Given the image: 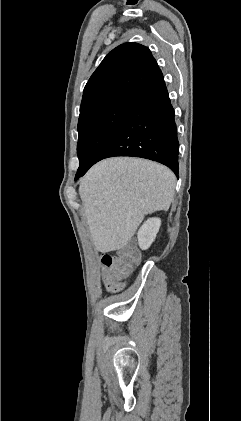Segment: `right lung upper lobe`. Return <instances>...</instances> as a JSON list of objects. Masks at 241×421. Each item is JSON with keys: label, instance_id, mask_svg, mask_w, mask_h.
<instances>
[{"label": "right lung upper lobe", "instance_id": "right-lung-upper-lobe-1", "mask_svg": "<svg viewBox=\"0 0 241 421\" xmlns=\"http://www.w3.org/2000/svg\"><path fill=\"white\" fill-rule=\"evenodd\" d=\"M162 75L150 50L137 43H125L106 55L87 82L80 117L99 108L131 101Z\"/></svg>", "mask_w": 241, "mask_h": 421}]
</instances>
